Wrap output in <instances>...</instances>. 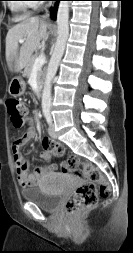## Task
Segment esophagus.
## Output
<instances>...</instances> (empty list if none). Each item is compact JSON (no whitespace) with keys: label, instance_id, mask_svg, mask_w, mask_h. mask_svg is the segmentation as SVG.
<instances>
[{"label":"esophagus","instance_id":"esophagus-1","mask_svg":"<svg viewBox=\"0 0 133 253\" xmlns=\"http://www.w3.org/2000/svg\"><path fill=\"white\" fill-rule=\"evenodd\" d=\"M53 7H54V3L50 2L47 6L46 13H45L44 17H49L50 9H52Z\"/></svg>","mask_w":133,"mask_h":253}]
</instances>
